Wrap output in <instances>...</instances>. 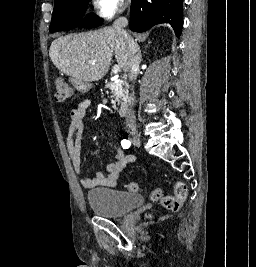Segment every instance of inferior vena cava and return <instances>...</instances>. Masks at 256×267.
<instances>
[{
	"instance_id": "1",
	"label": "inferior vena cava",
	"mask_w": 256,
	"mask_h": 267,
	"mask_svg": "<svg viewBox=\"0 0 256 267\" xmlns=\"http://www.w3.org/2000/svg\"><path fill=\"white\" fill-rule=\"evenodd\" d=\"M126 26H128L127 18H118V20H115L112 24V28H114L120 36H124L129 44L127 72L130 82H134V80H136V74L139 72L141 52H139L138 44H136V42L130 38L129 34H127L126 30H124ZM126 126H129V128H135L136 126V116L133 110H128L126 114Z\"/></svg>"
}]
</instances>
